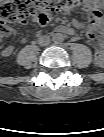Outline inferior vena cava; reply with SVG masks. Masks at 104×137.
Listing matches in <instances>:
<instances>
[{
	"label": "inferior vena cava",
	"instance_id": "602c4592",
	"mask_svg": "<svg viewBox=\"0 0 104 137\" xmlns=\"http://www.w3.org/2000/svg\"><path fill=\"white\" fill-rule=\"evenodd\" d=\"M40 44H41V46H43V47H48V46H50V44H51V39H50V37H48V36H43V37H41V39H40Z\"/></svg>",
	"mask_w": 104,
	"mask_h": 137
}]
</instances>
